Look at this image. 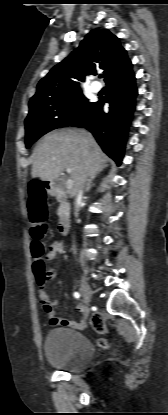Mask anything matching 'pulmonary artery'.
<instances>
[{
	"label": "pulmonary artery",
	"instance_id": "obj_1",
	"mask_svg": "<svg viewBox=\"0 0 168 415\" xmlns=\"http://www.w3.org/2000/svg\"><path fill=\"white\" fill-rule=\"evenodd\" d=\"M91 89H92V91H93V92H99V91H101V89H102V85H101L99 82L94 81V82L91 84Z\"/></svg>",
	"mask_w": 168,
	"mask_h": 415
}]
</instances>
